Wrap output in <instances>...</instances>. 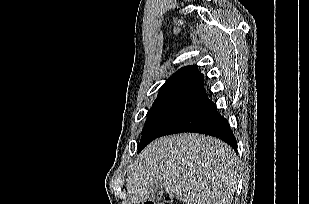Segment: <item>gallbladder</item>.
I'll return each instance as SVG.
<instances>
[{
  "label": "gallbladder",
  "mask_w": 309,
  "mask_h": 204,
  "mask_svg": "<svg viewBox=\"0 0 309 204\" xmlns=\"http://www.w3.org/2000/svg\"><path fill=\"white\" fill-rule=\"evenodd\" d=\"M163 185L159 181H152L149 185L148 198L151 201H159L163 194Z\"/></svg>",
  "instance_id": "bac80fb5"
}]
</instances>
